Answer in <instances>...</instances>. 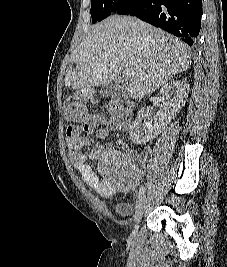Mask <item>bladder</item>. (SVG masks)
<instances>
[{"instance_id": "obj_1", "label": "bladder", "mask_w": 227, "mask_h": 267, "mask_svg": "<svg viewBox=\"0 0 227 267\" xmlns=\"http://www.w3.org/2000/svg\"><path fill=\"white\" fill-rule=\"evenodd\" d=\"M115 211L118 216L122 218H129L132 216V206L129 202H119L115 206Z\"/></svg>"}]
</instances>
